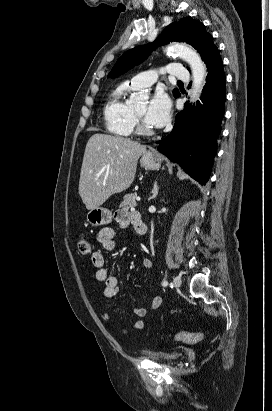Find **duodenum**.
<instances>
[{
	"label": "duodenum",
	"instance_id": "410a0bca",
	"mask_svg": "<svg viewBox=\"0 0 272 411\" xmlns=\"http://www.w3.org/2000/svg\"><path fill=\"white\" fill-rule=\"evenodd\" d=\"M134 229L136 233L140 236H145L147 234V226L146 224L140 219L139 216H135L133 218Z\"/></svg>",
	"mask_w": 272,
	"mask_h": 411
}]
</instances>
